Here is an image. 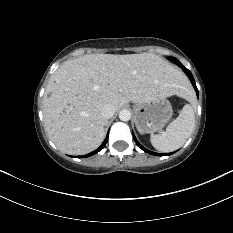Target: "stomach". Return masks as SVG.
Wrapping results in <instances>:
<instances>
[{"label":"stomach","instance_id":"stomach-1","mask_svg":"<svg viewBox=\"0 0 233 233\" xmlns=\"http://www.w3.org/2000/svg\"><path fill=\"white\" fill-rule=\"evenodd\" d=\"M135 125L139 133H155L167 124L172 116V107L166 98H155L134 106Z\"/></svg>","mask_w":233,"mask_h":233}]
</instances>
